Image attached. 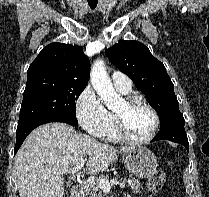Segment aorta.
<instances>
[{"mask_svg":"<svg viewBox=\"0 0 209 197\" xmlns=\"http://www.w3.org/2000/svg\"><path fill=\"white\" fill-rule=\"evenodd\" d=\"M90 77L94 90L108 108H114L121 103L120 95L113 88L103 60L98 59L94 62Z\"/></svg>","mask_w":209,"mask_h":197,"instance_id":"1","label":"aorta"}]
</instances>
